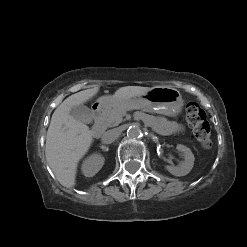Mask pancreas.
Returning <instances> with one entry per match:
<instances>
[{
    "label": "pancreas",
    "instance_id": "pancreas-1",
    "mask_svg": "<svg viewBox=\"0 0 247 247\" xmlns=\"http://www.w3.org/2000/svg\"><path fill=\"white\" fill-rule=\"evenodd\" d=\"M132 109H142L143 111L148 110L132 103L123 104L107 112L101 119L100 124L104 127L118 126L123 121V116L126 112Z\"/></svg>",
    "mask_w": 247,
    "mask_h": 247
}]
</instances>
